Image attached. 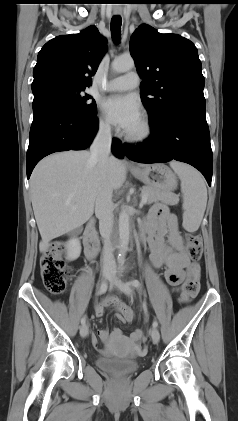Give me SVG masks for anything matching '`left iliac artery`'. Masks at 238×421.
Masks as SVG:
<instances>
[{"instance_id": "obj_1", "label": "left iliac artery", "mask_w": 238, "mask_h": 421, "mask_svg": "<svg viewBox=\"0 0 238 421\" xmlns=\"http://www.w3.org/2000/svg\"><path fill=\"white\" fill-rule=\"evenodd\" d=\"M129 284H130L131 286L135 287V288H139V287H140V282H139L138 280H136V279L131 280V281L129 282ZM157 326H158V322L155 320V321L153 322V327H157Z\"/></svg>"}]
</instances>
